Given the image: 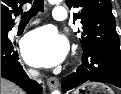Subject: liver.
<instances>
[{
  "mask_svg": "<svg viewBox=\"0 0 121 94\" xmlns=\"http://www.w3.org/2000/svg\"><path fill=\"white\" fill-rule=\"evenodd\" d=\"M1 94H24V92L12 82L1 78Z\"/></svg>",
  "mask_w": 121,
  "mask_h": 94,
  "instance_id": "liver-1",
  "label": "liver"
}]
</instances>
